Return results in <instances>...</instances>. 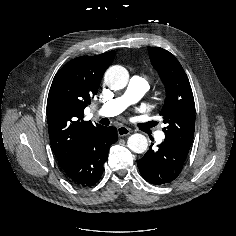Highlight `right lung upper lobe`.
Masks as SVG:
<instances>
[{"mask_svg": "<svg viewBox=\"0 0 236 236\" xmlns=\"http://www.w3.org/2000/svg\"><path fill=\"white\" fill-rule=\"evenodd\" d=\"M115 52L81 56L66 63L55 75L47 100L51 143L59 165L66 171L78 160L87 137L101 125L84 121V109L97 94Z\"/></svg>", "mask_w": 236, "mask_h": 236, "instance_id": "cb5924a9", "label": "right lung upper lobe"}]
</instances>
